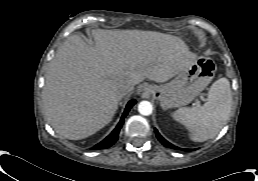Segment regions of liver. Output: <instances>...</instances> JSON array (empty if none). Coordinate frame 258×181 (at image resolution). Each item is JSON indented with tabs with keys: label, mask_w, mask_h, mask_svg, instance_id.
Returning a JSON list of instances; mask_svg holds the SVG:
<instances>
[{
	"label": "liver",
	"mask_w": 258,
	"mask_h": 181,
	"mask_svg": "<svg viewBox=\"0 0 258 181\" xmlns=\"http://www.w3.org/2000/svg\"><path fill=\"white\" fill-rule=\"evenodd\" d=\"M96 46L70 36L49 64L43 112L54 131L84 139L107 125L118 108L122 86L148 78L165 82L196 59L179 37L153 31L92 32Z\"/></svg>",
	"instance_id": "1"
}]
</instances>
